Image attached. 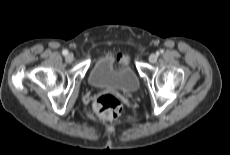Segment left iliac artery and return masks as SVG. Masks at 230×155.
<instances>
[{
  "mask_svg": "<svg viewBox=\"0 0 230 155\" xmlns=\"http://www.w3.org/2000/svg\"><path fill=\"white\" fill-rule=\"evenodd\" d=\"M163 52H164L163 50H160V51L158 52V54H159V53H163Z\"/></svg>",
  "mask_w": 230,
  "mask_h": 155,
  "instance_id": "obj_1",
  "label": "left iliac artery"
}]
</instances>
